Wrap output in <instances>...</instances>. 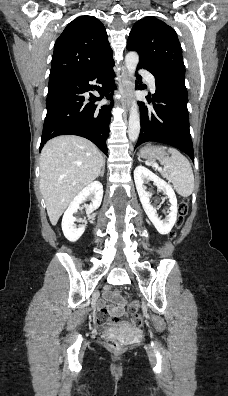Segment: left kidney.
<instances>
[{"instance_id":"obj_1","label":"left kidney","mask_w":228,"mask_h":396,"mask_svg":"<svg viewBox=\"0 0 228 396\" xmlns=\"http://www.w3.org/2000/svg\"><path fill=\"white\" fill-rule=\"evenodd\" d=\"M134 180L140 201L148 218L151 220L160 234H168L177 220L178 208L177 198L174 190L167 182L156 176L142 165H139L135 168ZM150 180L154 182L158 190H162L169 198V202L171 204L169 208L170 213L165 220H161L158 217L156 208H154L150 203V198L152 195L146 191V187L144 186V184Z\"/></svg>"}]
</instances>
